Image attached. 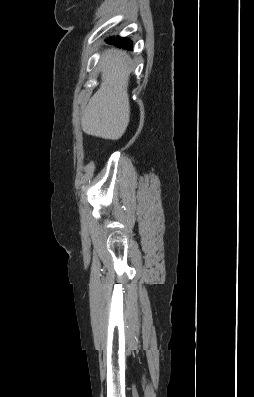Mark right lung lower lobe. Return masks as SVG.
I'll use <instances>...</instances> for the list:
<instances>
[{
	"instance_id": "right-lung-lower-lobe-1",
	"label": "right lung lower lobe",
	"mask_w": 254,
	"mask_h": 397,
	"mask_svg": "<svg viewBox=\"0 0 254 397\" xmlns=\"http://www.w3.org/2000/svg\"><path fill=\"white\" fill-rule=\"evenodd\" d=\"M106 42L108 44H114L117 47L124 48V49H127V50H131L132 49V43L127 38H120L118 36L116 38L111 37L110 39L106 40Z\"/></svg>"
}]
</instances>
